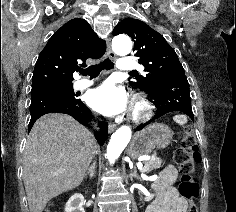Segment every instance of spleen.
Here are the masks:
<instances>
[{
  "label": "spleen",
  "mask_w": 236,
  "mask_h": 212,
  "mask_svg": "<svg viewBox=\"0 0 236 212\" xmlns=\"http://www.w3.org/2000/svg\"><path fill=\"white\" fill-rule=\"evenodd\" d=\"M173 120L178 123L179 125H184L187 123V117L183 114L175 115L173 117Z\"/></svg>",
  "instance_id": "obj_1"
}]
</instances>
